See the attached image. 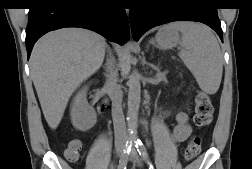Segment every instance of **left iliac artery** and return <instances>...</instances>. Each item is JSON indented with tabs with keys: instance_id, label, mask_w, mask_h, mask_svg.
<instances>
[{
	"instance_id": "1",
	"label": "left iliac artery",
	"mask_w": 252,
	"mask_h": 169,
	"mask_svg": "<svg viewBox=\"0 0 252 169\" xmlns=\"http://www.w3.org/2000/svg\"><path fill=\"white\" fill-rule=\"evenodd\" d=\"M134 143H135V147H136L139 155L150 166L149 169H153V166H152V164L150 163V160H149L147 150H146L144 144L142 143V141L140 139H136V140H134Z\"/></svg>"
}]
</instances>
